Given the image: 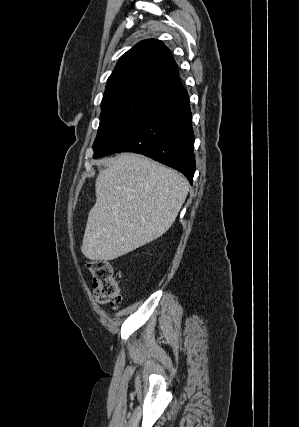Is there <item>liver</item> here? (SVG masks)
<instances>
[{
	"mask_svg": "<svg viewBox=\"0 0 299 427\" xmlns=\"http://www.w3.org/2000/svg\"><path fill=\"white\" fill-rule=\"evenodd\" d=\"M81 251L110 261L162 236L174 223L189 191L176 171L135 153L101 161Z\"/></svg>",
	"mask_w": 299,
	"mask_h": 427,
	"instance_id": "liver-1",
	"label": "liver"
}]
</instances>
